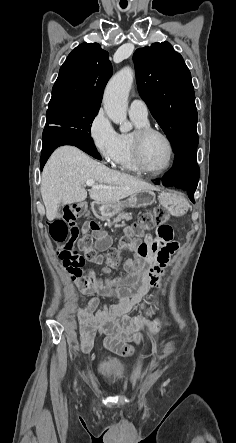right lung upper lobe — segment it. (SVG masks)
<instances>
[{"label":"right lung upper lobe","mask_w":236,"mask_h":443,"mask_svg":"<svg viewBox=\"0 0 236 443\" xmlns=\"http://www.w3.org/2000/svg\"><path fill=\"white\" fill-rule=\"evenodd\" d=\"M111 75L108 52L98 43H82L61 66L49 104L69 102L100 108L104 87Z\"/></svg>","instance_id":"right-lung-upper-lobe-1"}]
</instances>
